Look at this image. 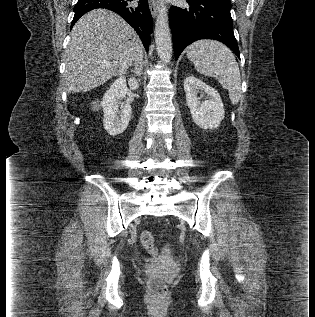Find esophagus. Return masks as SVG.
I'll use <instances>...</instances> for the list:
<instances>
[{"instance_id":"34e87169","label":"esophagus","mask_w":315,"mask_h":317,"mask_svg":"<svg viewBox=\"0 0 315 317\" xmlns=\"http://www.w3.org/2000/svg\"><path fill=\"white\" fill-rule=\"evenodd\" d=\"M149 8L153 17L157 16L158 4L156 0H149Z\"/></svg>"}]
</instances>
